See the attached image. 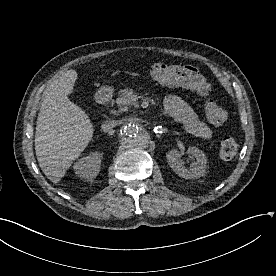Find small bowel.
Returning <instances> with one entry per match:
<instances>
[{
	"label": "small bowel",
	"instance_id": "c3829d8e",
	"mask_svg": "<svg viewBox=\"0 0 276 276\" xmlns=\"http://www.w3.org/2000/svg\"><path fill=\"white\" fill-rule=\"evenodd\" d=\"M165 109L167 113L191 134L208 139L212 136V129L201 121L194 110L179 96L166 97Z\"/></svg>",
	"mask_w": 276,
	"mask_h": 276
}]
</instances>
